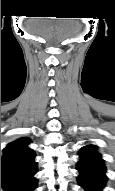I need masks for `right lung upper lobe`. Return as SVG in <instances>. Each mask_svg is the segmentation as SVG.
<instances>
[{
  "label": "right lung upper lobe",
  "instance_id": "cb5924a9",
  "mask_svg": "<svg viewBox=\"0 0 115 191\" xmlns=\"http://www.w3.org/2000/svg\"><path fill=\"white\" fill-rule=\"evenodd\" d=\"M26 138L11 142L4 148L1 158V175L25 173L37 168L35 154L28 147Z\"/></svg>",
  "mask_w": 115,
  "mask_h": 191
}]
</instances>
